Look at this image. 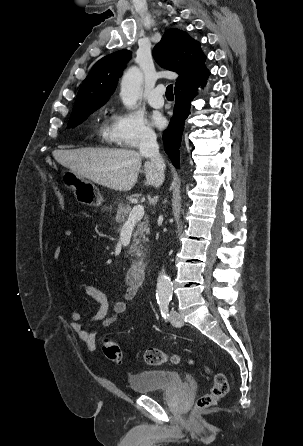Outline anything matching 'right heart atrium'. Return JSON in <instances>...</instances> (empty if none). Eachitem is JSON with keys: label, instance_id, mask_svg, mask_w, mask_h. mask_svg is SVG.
<instances>
[{"label": "right heart atrium", "instance_id": "d8ad5b80", "mask_svg": "<svg viewBox=\"0 0 303 446\" xmlns=\"http://www.w3.org/2000/svg\"><path fill=\"white\" fill-rule=\"evenodd\" d=\"M111 137L113 142L125 148L150 144L156 139L143 114L134 110L122 111L114 116Z\"/></svg>", "mask_w": 303, "mask_h": 446}]
</instances>
